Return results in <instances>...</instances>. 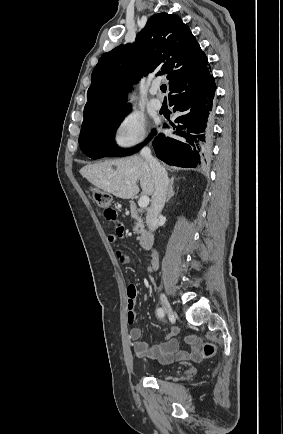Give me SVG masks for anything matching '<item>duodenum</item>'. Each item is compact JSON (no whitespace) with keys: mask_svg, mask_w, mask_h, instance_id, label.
Segmentation results:
<instances>
[{"mask_svg":"<svg viewBox=\"0 0 283 434\" xmlns=\"http://www.w3.org/2000/svg\"><path fill=\"white\" fill-rule=\"evenodd\" d=\"M129 208L134 216H139V210L133 201L130 202ZM154 236L149 230H145L141 236V244L145 249H150L153 245Z\"/></svg>","mask_w":283,"mask_h":434,"instance_id":"obj_1","label":"duodenum"}]
</instances>
